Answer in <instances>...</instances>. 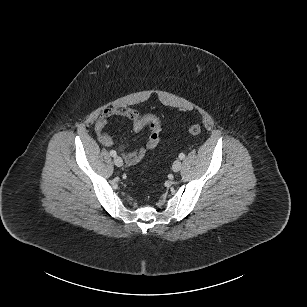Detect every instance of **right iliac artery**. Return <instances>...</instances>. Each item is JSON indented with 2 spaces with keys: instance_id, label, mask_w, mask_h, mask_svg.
Returning <instances> with one entry per match:
<instances>
[{
  "instance_id": "82829eb1",
  "label": "right iliac artery",
  "mask_w": 307,
  "mask_h": 307,
  "mask_svg": "<svg viewBox=\"0 0 307 307\" xmlns=\"http://www.w3.org/2000/svg\"><path fill=\"white\" fill-rule=\"evenodd\" d=\"M110 155L113 156V157H115V156H116V151H115V150H111V151H110Z\"/></svg>"
}]
</instances>
